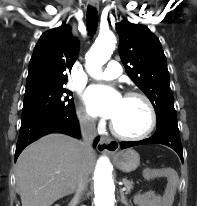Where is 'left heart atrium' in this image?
Returning a JSON list of instances; mask_svg holds the SVG:
<instances>
[{
  "instance_id": "1",
  "label": "left heart atrium",
  "mask_w": 197,
  "mask_h": 206,
  "mask_svg": "<svg viewBox=\"0 0 197 206\" xmlns=\"http://www.w3.org/2000/svg\"><path fill=\"white\" fill-rule=\"evenodd\" d=\"M85 99L91 113L113 119L122 97L110 87L92 86L87 90Z\"/></svg>"
}]
</instances>
